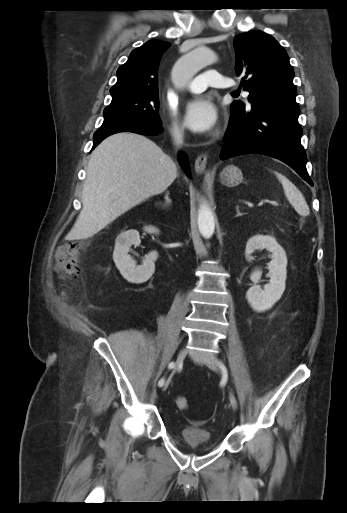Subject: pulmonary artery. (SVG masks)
<instances>
[{"instance_id":"e3ab8cb5","label":"pulmonary artery","mask_w":347,"mask_h":513,"mask_svg":"<svg viewBox=\"0 0 347 513\" xmlns=\"http://www.w3.org/2000/svg\"><path fill=\"white\" fill-rule=\"evenodd\" d=\"M209 86L218 88H232L233 84L217 70L210 69L196 76L189 83L188 89L193 93H200L207 89ZM244 94L248 95L247 92H244Z\"/></svg>"}]
</instances>
